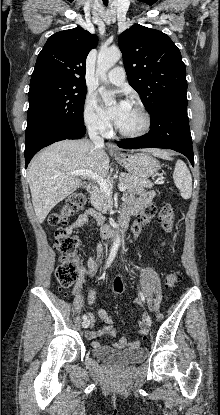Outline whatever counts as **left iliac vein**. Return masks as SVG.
<instances>
[{"label": "left iliac vein", "instance_id": "left-iliac-vein-1", "mask_svg": "<svg viewBox=\"0 0 220 415\" xmlns=\"http://www.w3.org/2000/svg\"><path fill=\"white\" fill-rule=\"evenodd\" d=\"M146 319H148V321H147V325H148V327H150L151 326V324H152V320H151V317L150 316H147V318Z\"/></svg>", "mask_w": 220, "mask_h": 415}]
</instances>
